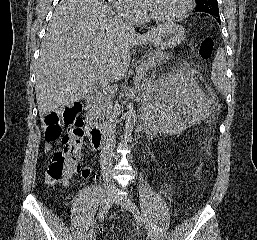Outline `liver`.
Returning <instances> with one entry per match:
<instances>
[{
  "label": "liver",
  "mask_w": 257,
  "mask_h": 240,
  "mask_svg": "<svg viewBox=\"0 0 257 240\" xmlns=\"http://www.w3.org/2000/svg\"><path fill=\"white\" fill-rule=\"evenodd\" d=\"M164 25L145 34L126 30L104 0H62L49 22L36 71L40 116L61 112L95 83L119 81L132 48L151 42Z\"/></svg>",
  "instance_id": "6515ba94"
}]
</instances>
